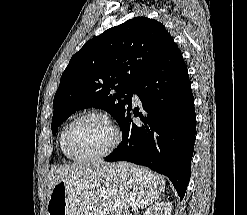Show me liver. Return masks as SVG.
<instances>
[{"instance_id": "obj_1", "label": "liver", "mask_w": 247, "mask_h": 215, "mask_svg": "<svg viewBox=\"0 0 247 215\" xmlns=\"http://www.w3.org/2000/svg\"><path fill=\"white\" fill-rule=\"evenodd\" d=\"M109 165L105 162H92L52 168L48 174V199L53 187L59 181L65 180L70 184H81L90 176L95 175L100 169L106 168Z\"/></svg>"}]
</instances>
